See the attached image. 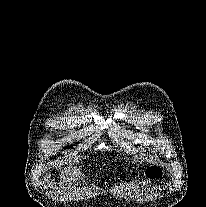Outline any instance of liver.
<instances>
[{
  "instance_id": "1",
  "label": "liver",
  "mask_w": 206,
  "mask_h": 207,
  "mask_svg": "<svg viewBox=\"0 0 206 207\" xmlns=\"http://www.w3.org/2000/svg\"><path fill=\"white\" fill-rule=\"evenodd\" d=\"M81 177V172L76 167H68L64 169L63 172V179L66 181L74 180L76 181L78 178Z\"/></svg>"
}]
</instances>
